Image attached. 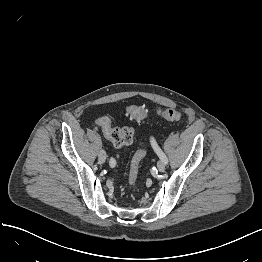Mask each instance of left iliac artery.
Here are the masks:
<instances>
[{
	"mask_svg": "<svg viewBox=\"0 0 262 262\" xmlns=\"http://www.w3.org/2000/svg\"><path fill=\"white\" fill-rule=\"evenodd\" d=\"M153 149L156 152V154L160 157L161 160H163L165 163L168 162L167 157L163 153V151L160 149V147L156 144L153 145Z\"/></svg>",
	"mask_w": 262,
	"mask_h": 262,
	"instance_id": "44dca946",
	"label": "left iliac artery"
}]
</instances>
